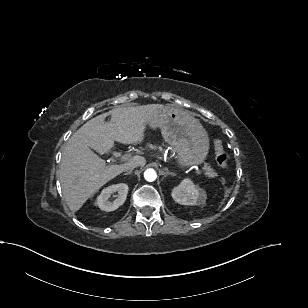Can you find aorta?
<instances>
[{"label":"aorta","mask_w":308,"mask_h":308,"mask_svg":"<svg viewBox=\"0 0 308 308\" xmlns=\"http://www.w3.org/2000/svg\"><path fill=\"white\" fill-rule=\"evenodd\" d=\"M144 178H145L146 181L152 182V181L156 180L157 174H156L154 169H147L144 172Z\"/></svg>","instance_id":"762f6f07"}]
</instances>
